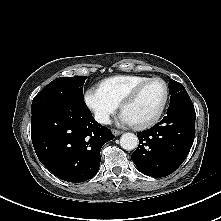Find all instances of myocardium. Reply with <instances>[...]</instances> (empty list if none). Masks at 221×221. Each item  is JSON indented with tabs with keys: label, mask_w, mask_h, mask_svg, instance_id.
Segmentation results:
<instances>
[{
	"label": "myocardium",
	"mask_w": 221,
	"mask_h": 221,
	"mask_svg": "<svg viewBox=\"0 0 221 221\" xmlns=\"http://www.w3.org/2000/svg\"><path fill=\"white\" fill-rule=\"evenodd\" d=\"M153 82H160L163 84V86L165 88V97H164V100H163V103H162L160 109L158 110V112L156 113V115L154 117L150 118L149 120L143 121V122H135L134 123L135 126L139 129L151 128L161 120V118L166 110V107H167V104L169 101V96H170L169 86L166 83V81H164L162 78H159V77L149 78V79L139 83L137 86H135L124 97V99L120 103L121 110H122V112H124L125 109L127 108V106H129L131 103H133L137 99V97L140 94V92L142 91V89Z\"/></svg>",
	"instance_id": "myocardium-1"
}]
</instances>
